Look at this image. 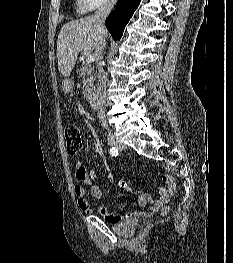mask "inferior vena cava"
Here are the masks:
<instances>
[{"mask_svg": "<svg viewBox=\"0 0 233 263\" xmlns=\"http://www.w3.org/2000/svg\"><path fill=\"white\" fill-rule=\"evenodd\" d=\"M116 0H105L92 16L93 21L98 30V41L95 47V57L97 66V103H98V117L105 127V103H106V75L102 66V52L106 46L107 30L104 25L105 19L112 11Z\"/></svg>", "mask_w": 233, "mask_h": 263, "instance_id": "obj_1", "label": "inferior vena cava"}]
</instances>
